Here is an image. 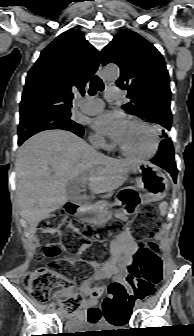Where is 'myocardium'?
<instances>
[{
    "label": "myocardium",
    "mask_w": 194,
    "mask_h": 336,
    "mask_svg": "<svg viewBox=\"0 0 194 336\" xmlns=\"http://www.w3.org/2000/svg\"><path fill=\"white\" fill-rule=\"evenodd\" d=\"M127 123H134V124H138L142 127H144L145 129H147L153 137V147L151 149L150 152L148 153H134V152H130L128 150H126L122 145H120L119 143H116V147L118 148V150L124 154L125 156L128 157H132V158H139V159H150L152 157H154L157 152L159 151L160 148V137H159V133L158 131L149 123L143 121L142 119L139 118H129L127 120Z\"/></svg>",
    "instance_id": "myocardium-1"
}]
</instances>
